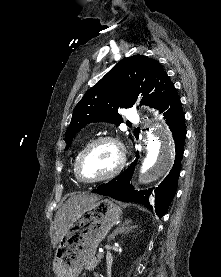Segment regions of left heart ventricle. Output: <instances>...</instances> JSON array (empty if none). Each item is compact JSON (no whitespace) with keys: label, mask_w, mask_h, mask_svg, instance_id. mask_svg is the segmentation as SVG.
Instances as JSON below:
<instances>
[{"label":"left heart ventricle","mask_w":221,"mask_h":277,"mask_svg":"<svg viewBox=\"0 0 221 277\" xmlns=\"http://www.w3.org/2000/svg\"><path fill=\"white\" fill-rule=\"evenodd\" d=\"M117 161V150L112 144H99L83 158L80 166L81 175L86 179L101 177L110 172Z\"/></svg>","instance_id":"1"}]
</instances>
